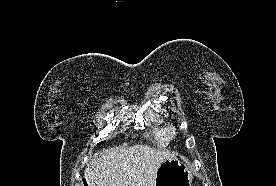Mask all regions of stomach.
Here are the masks:
<instances>
[{
	"mask_svg": "<svg viewBox=\"0 0 276 186\" xmlns=\"http://www.w3.org/2000/svg\"><path fill=\"white\" fill-rule=\"evenodd\" d=\"M154 186H192V174L176 157L167 159L158 168Z\"/></svg>",
	"mask_w": 276,
	"mask_h": 186,
	"instance_id": "0dacf381",
	"label": "stomach"
}]
</instances>
